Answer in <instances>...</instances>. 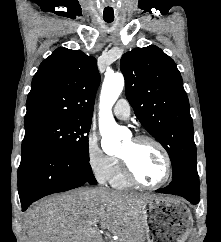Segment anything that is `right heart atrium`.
Wrapping results in <instances>:
<instances>
[{"instance_id": "d8ad5b80", "label": "right heart atrium", "mask_w": 221, "mask_h": 242, "mask_svg": "<svg viewBox=\"0 0 221 242\" xmlns=\"http://www.w3.org/2000/svg\"><path fill=\"white\" fill-rule=\"evenodd\" d=\"M86 160L89 169L100 182L110 180L116 158L102 150L94 132L89 133L86 139Z\"/></svg>"}]
</instances>
